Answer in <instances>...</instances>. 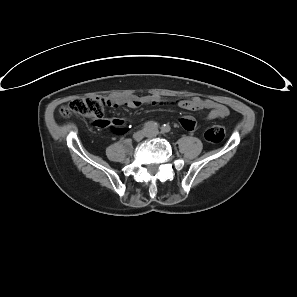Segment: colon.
<instances>
[{
    "instance_id": "obj_1",
    "label": "colon",
    "mask_w": 297,
    "mask_h": 297,
    "mask_svg": "<svg viewBox=\"0 0 297 297\" xmlns=\"http://www.w3.org/2000/svg\"><path fill=\"white\" fill-rule=\"evenodd\" d=\"M104 105V100L98 97L78 98L63 106L60 114L63 117L78 114L90 119H104ZM204 136L211 143H219L225 136V129L222 125H213L205 131Z\"/></svg>"
}]
</instances>
